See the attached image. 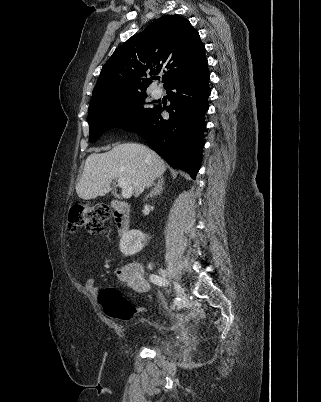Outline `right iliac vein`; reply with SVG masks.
Returning a JSON list of instances; mask_svg holds the SVG:
<instances>
[{
  "label": "right iliac vein",
  "instance_id": "63e3f726",
  "mask_svg": "<svg viewBox=\"0 0 321 402\" xmlns=\"http://www.w3.org/2000/svg\"><path fill=\"white\" fill-rule=\"evenodd\" d=\"M161 273L163 274L162 271H161ZM175 291H176L177 297L180 299V301L177 303V308L181 309L185 305L186 294H185L184 289L181 287V285L178 282L175 283Z\"/></svg>",
  "mask_w": 321,
  "mask_h": 402
}]
</instances>
